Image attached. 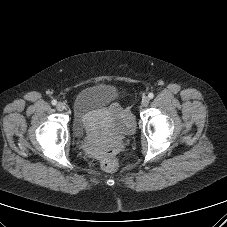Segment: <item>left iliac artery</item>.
Returning <instances> with one entry per match:
<instances>
[{"instance_id":"obj_1","label":"left iliac artery","mask_w":227,"mask_h":227,"mask_svg":"<svg viewBox=\"0 0 227 227\" xmlns=\"http://www.w3.org/2000/svg\"><path fill=\"white\" fill-rule=\"evenodd\" d=\"M148 97H149L150 99H152V98L154 97V94H153V93H149V94H148Z\"/></svg>"}]
</instances>
